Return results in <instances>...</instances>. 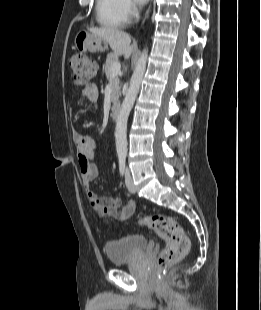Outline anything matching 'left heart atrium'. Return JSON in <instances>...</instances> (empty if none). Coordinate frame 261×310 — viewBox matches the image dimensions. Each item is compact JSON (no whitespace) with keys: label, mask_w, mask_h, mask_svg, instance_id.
<instances>
[{"label":"left heart atrium","mask_w":261,"mask_h":310,"mask_svg":"<svg viewBox=\"0 0 261 310\" xmlns=\"http://www.w3.org/2000/svg\"><path fill=\"white\" fill-rule=\"evenodd\" d=\"M136 2H138L139 4H144L146 3L148 0H135Z\"/></svg>","instance_id":"obj_1"}]
</instances>
